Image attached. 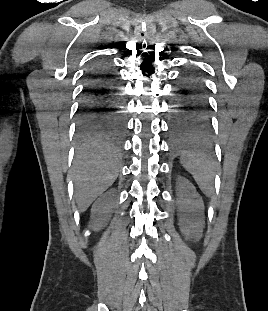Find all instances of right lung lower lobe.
<instances>
[{"instance_id":"obj_1","label":"right lung lower lobe","mask_w":268,"mask_h":311,"mask_svg":"<svg viewBox=\"0 0 268 311\" xmlns=\"http://www.w3.org/2000/svg\"><path fill=\"white\" fill-rule=\"evenodd\" d=\"M109 64L96 65L89 74L78 109V135L82 139L119 141L125 132L124 99Z\"/></svg>"}]
</instances>
